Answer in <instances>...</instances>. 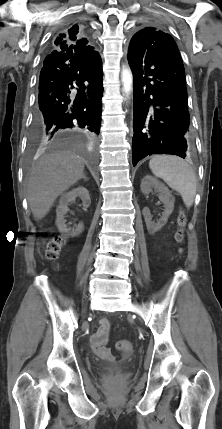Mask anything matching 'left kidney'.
<instances>
[{
  "instance_id": "5707ae66",
  "label": "left kidney",
  "mask_w": 222,
  "mask_h": 429,
  "mask_svg": "<svg viewBox=\"0 0 222 429\" xmlns=\"http://www.w3.org/2000/svg\"><path fill=\"white\" fill-rule=\"evenodd\" d=\"M152 189L159 192V199L164 204L165 208L162 213V217L156 223L152 221L150 210L148 208H144L142 210L148 231L155 233L167 223L168 217L173 212L175 199L164 184L159 182L156 178L147 175L142 179L141 191L143 194L147 195L152 191Z\"/></svg>"
}]
</instances>
